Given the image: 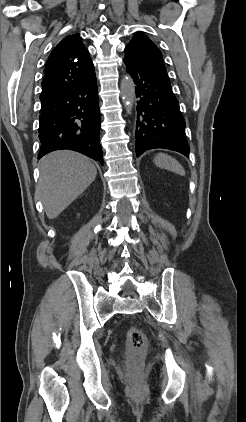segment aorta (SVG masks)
I'll list each match as a JSON object with an SVG mask.
<instances>
[{
    "instance_id": "762f6f07",
    "label": "aorta",
    "mask_w": 246,
    "mask_h": 422,
    "mask_svg": "<svg viewBox=\"0 0 246 422\" xmlns=\"http://www.w3.org/2000/svg\"><path fill=\"white\" fill-rule=\"evenodd\" d=\"M121 97L124 107L131 113L135 101V85L129 76H125L120 83Z\"/></svg>"
}]
</instances>
